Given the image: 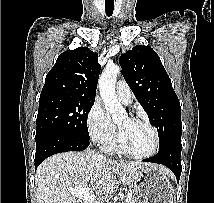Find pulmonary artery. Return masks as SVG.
<instances>
[{
	"mask_svg": "<svg viewBox=\"0 0 214 203\" xmlns=\"http://www.w3.org/2000/svg\"><path fill=\"white\" fill-rule=\"evenodd\" d=\"M116 93L123 103L130 104L132 102L133 95L125 81L119 80L116 83Z\"/></svg>",
	"mask_w": 214,
	"mask_h": 203,
	"instance_id": "1",
	"label": "pulmonary artery"
}]
</instances>
